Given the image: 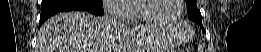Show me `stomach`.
Instances as JSON below:
<instances>
[{
  "mask_svg": "<svg viewBox=\"0 0 261 52\" xmlns=\"http://www.w3.org/2000/svg\"><path fill=\"white\" fill-rule=\"evenodd\" d=\"M149 30L158 31V28L146 26ZM147 50H151V52H168L167 47L163 46L161 38H156L155 36L150 37V44L147 46Z\"/></svg>",
  "mask_w": 261,
  "mask_h": 52,
  "instance_id": "obj_1",
  "label": "stomach"
}]
</instances>
